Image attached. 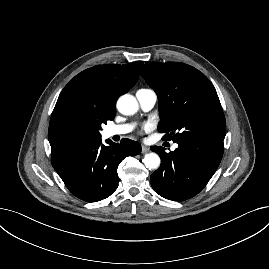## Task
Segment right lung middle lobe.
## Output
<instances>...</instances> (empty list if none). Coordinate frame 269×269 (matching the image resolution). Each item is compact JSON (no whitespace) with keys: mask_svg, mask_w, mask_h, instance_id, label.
Instances as JSON below:
<instances>
[{"mask_svg":"<svg viewBox=\"0 0 269 269\" xmlns=\"http://www.w3.org/2000/svg\"><path fill=\"white\" fill-rule=\"evenodd\" d=\"M107 120H99L93 123L92 125V130H93V137L95 138H101V135L99 133L101 129L102 124H106Z\"/></svg>","mask_w":269,"mask_h":269,"instance_id":"right-lung-middle-lobe-1","label":"right lung middle lobe"}]
</instances>
